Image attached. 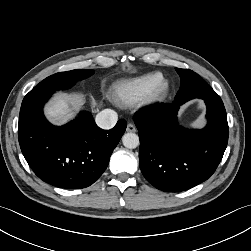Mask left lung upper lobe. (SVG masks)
<instances>
[{"label":"left lung upper lobe","instance_id":"1","mask_svg":"<svg viewBox=\"0 0 251 251\" xmlns=\"http://www.w3.org/2000/svg\"><path fill=\"white\" fill-rule=\"evenodd\" d=\"M176 71L181 78L180 91L200 87L201 84L207 83L197 73L191 70L176 68Z\"/></svg>","mask_w":251,"mask_h":251}]
</instances>
